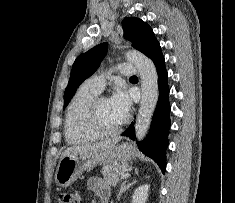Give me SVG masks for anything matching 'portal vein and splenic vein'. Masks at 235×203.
<instances>
[{"label": "portal vein and splenic vein", "instance_id": "1", "mask_svg": "<svg viewBox=\"0 0 235 203\" xmlns=\"http://www.w3.org/2000/svg\"><path fill=\"white\" fill-rule=\"evenodd\" d=\"M130 176V174L128 173V172H126V173H124L122 176H121V178L123 179V178H127V177H129Z\"/></svg>", "mask_w": 235, "mask_h": 203}]
</instances>
